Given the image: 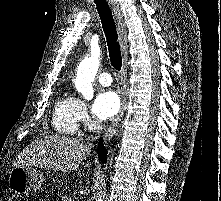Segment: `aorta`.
Here are the masks:
<instances>
[{"instance_id":"aorta-1","label":"aorta","mask_w":221,"mask_h":201,"mask_svg":"<svg viewBox=\"0 0 221 201\" xmlns=\"http://www.w3.org/2000/svg\"><path fill=\"white\" fill-rule=\"evenodd\" d=\"M100 49H93L91 56L83 61L80 70L77 73V77L74 81L75 87L85 98H91L93 96L92 82L98 71L100 64ZM96 201H103L101 197Z\"/></svg>"}]
</instances>
